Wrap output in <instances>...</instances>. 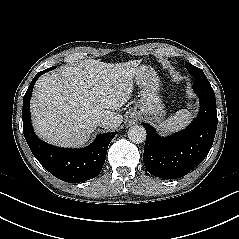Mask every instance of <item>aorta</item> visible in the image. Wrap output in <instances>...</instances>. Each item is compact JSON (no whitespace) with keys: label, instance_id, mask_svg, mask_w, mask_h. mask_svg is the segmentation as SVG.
I'll use <instances>...</instances> for the list:
<instances>
[{"label":"aorta","instance_id":"1","mask_svg":"<svg viewBox=\"0 0 239 239\" xmlns=\"http://www.w3.org/2000/svg\"><path fill=\"white\" fill-rule=\"evenodd\" d=\"M128 138L133 143H143L146 139V130L142 125H134L128 130Z\"/></svg>","mask_w":239,"mask_h":239}]
</instances>
